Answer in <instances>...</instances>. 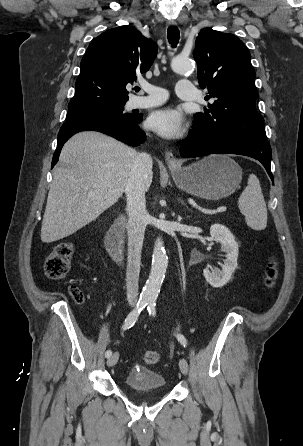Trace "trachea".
<instances>
[{"instance_id":"1","label":"trachea","mask_w":303,"mask_h":446,"mask_svg":"<svg viewBox=\"0 0 303 446\" xmlns=\"http://www.w3.org/2000/svg\"><path fill=\"white\" fill-rule=\"evenodd\" d=\"M167 37H168V41L171 44V46L173 48H175L179 42V39H180L179 29L176 26L168 27ZM139 90H140L139 87L135 88V91H139Z\"/></svg>"}]
</instances>
